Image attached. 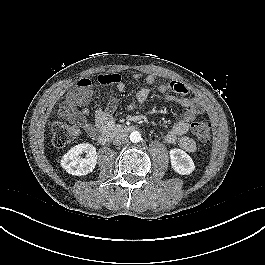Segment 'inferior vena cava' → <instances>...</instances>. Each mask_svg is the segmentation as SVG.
Returning <instances> with one entry per match:
<instances>
[{"label": "inferior vena cava", "instance_id": "602c4592", "mask_svg": "<svg viewBox=\"0 0 265 265\" xmlns=\"http://www.w3.org/2000/svg\"><path fill=\"white\" fill-rule=\"evenodd\" d=\"M127 142L128 135L126 133H118L113 140V144L117 146L126 144Z\"/></svg>", "mask_w": 265, "mask_h": 265}]
</instances>
